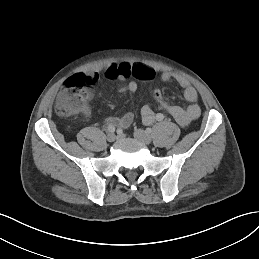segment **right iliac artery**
<instances>
[{
  "mask_svg": "<svg viewBox=\"0 0 259 259\" xmlns=\"http://www.w3.org/2000/svg\"><path fill=\"white\" fill-rule=\"evenodd\" d=\"M107 130H108L109 132L113 133V132H115V127H114L113 125H109V126L107 127Z\"/></svg>",
  "mask_w": 259,
  "mask_h": 259,
  "instance_id": "1",
  "label": "right iliac artery"
}]
</instances>
